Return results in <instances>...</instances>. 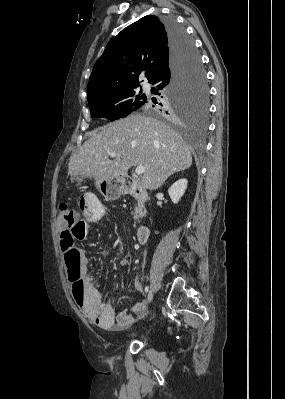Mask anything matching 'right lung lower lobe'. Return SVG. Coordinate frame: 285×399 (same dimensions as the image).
Segmentation results:
<instances>
[{
    "instance_id": "obj_1",
    "label": "right lung lower lobe",
    "mask_w": 285,
    "mask_h": 399,
    "mask_svg": "<svg viewBox=\"0 0 285 399\" xmlns=\"http://www.w3.org/2000/svg\"><path fill=\"white\" fill-rule=\"evenodd\" d=\"M166 28L169 47L170 59L168 67L160 71L151 84L156 86L152 89L155 94H161L162 91L170 90L181 80L186 68L192 62L195 46L188 37L185 29L178 25L176 21L170 19L164 21ZM161 105V103H159ZM170 102L165 101L163 106L170 107Z\"/></svg>"
}]
</instances>
